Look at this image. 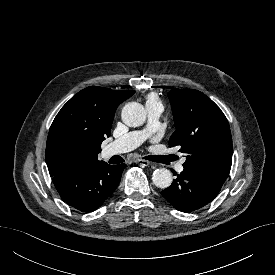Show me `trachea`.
<instances>
[{
    "label": "trachea",
    "mask_w": 275,
    "mask_h": 275,
    "mask_svg": "<svg viewBox=\"0 0 275 275\" xmlns=\"http://www.w3.org/2000/svg\"><path fill=\"white\" fill-rule=\"evenodd\" d=\"M145 159L147 160H150V161H153V162H161V157L160 156H156V155H150V156H147ZM123 162V159L120 158L117 163H121Z\"/></svg>",
    "instance_id": "trachea-1"
}]
</instances>
